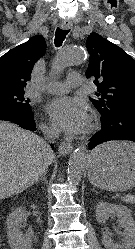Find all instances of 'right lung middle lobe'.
Listing matches in <instances>:
<instances>
[{"label": "right lung middle lobe", "instance_id": "dd1d6c3e", "mask_svg": "<svg viewBox=\"0 0 135 249\" xmlns=\"http://www.w3.org/2000/svg\"><path fill=\"white\" fill-rule=\"evenodd\" d=\"M25 91H0V102L16 105L24 110L32 111L29 99L24 97Z\"/></svg>", "mask_w": 135, "mask_h": 249}]
</instances>
